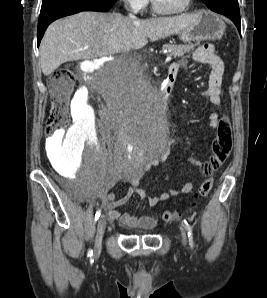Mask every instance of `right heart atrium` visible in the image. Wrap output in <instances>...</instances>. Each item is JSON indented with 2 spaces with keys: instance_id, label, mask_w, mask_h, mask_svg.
Wrapping results in <instances>:
<instances>
[{
  "instance_id": "d8ad5b80",
  "label": "right heart atrium",
  "mask_w": 267,
  "mask_h": 298,
  "mask_svg": "<svg viewBox=\"0 0 267 298\" xmlns=\"http://www.w3.org/2000/svg\"><path fill=\"white\" fill-rule=\"evenodd\" d=\"M124 2L134 12H141L147 7L149 0H124Z\"/></svg>"
}]
</instances>
